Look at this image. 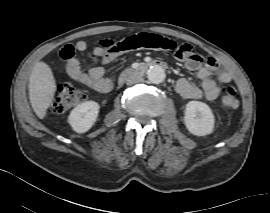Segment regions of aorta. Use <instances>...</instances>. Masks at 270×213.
Returning a JSON list of instances; mask_svg holds the SVG:
<instances>
[{"mask_svg":"<svg viewBox=\"0 0 270 213\" xmlns=\"http://www.w3.org/2000/svg\"><path fill=\"white\" fill-rule=\"evenodd\" d=\"M148 80L153 84H160L165 79L164 69L159 65L151 66L147 71Z\"/></svg>","mask_w":270,"mask_h":213,"instance_id":"1","label":"aorta"}]
</instances>
